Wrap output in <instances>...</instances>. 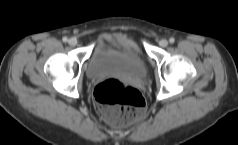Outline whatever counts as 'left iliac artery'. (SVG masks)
Masks as SVG:
<instances>
[{
  "label": "left iliac artery",
  "instance_id": "1",
  "mask_svg": "<svg viewBox=\"0 0 238 145\" xmlns=\"http://www.w3.org/2000/svg\"><path fill=\"white\" fill-rule=\"evenodd\" d=\"M169 42H170V43H174V42H175V39H174L173 37H171V38L169 39Z\"/></svg>",
  "mask_w": 238,
  "mask_h": 145
}]
</instances>
